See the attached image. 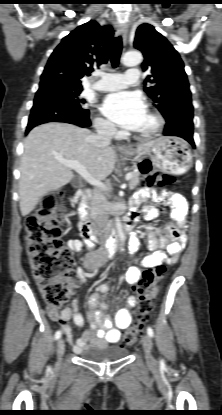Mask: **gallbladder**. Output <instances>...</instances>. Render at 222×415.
<instances>
[{
	"mask_svg": "<svg viewBox=\"0 0 222 415\" xmlns=\"http://www.w3.org/2000/svg\"><path fill=\"white\" fill-rule=\"evenodd\" d=\"M71 185L73 187H79L81 185L80 179L75 177L71 180Z\"/></svg>",
	"mask_w": 222,
	"mask_h": 415,
	"instance_id": "1",
	"label": "gallbladder"
}]
</instances>
